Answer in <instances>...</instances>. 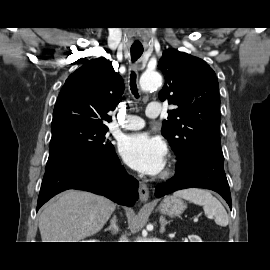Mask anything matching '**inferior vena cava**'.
Instances as JSON below:
<instances>
[{
  "label": "inferior vena cava",
  "mask_w": 270,
  "mask_h": 270,
  "mask_svg": "<svg viewBox=\"0 0 270 270\" xmlns=\"http://www.w3.org/2000/svg\"><path fill=\"white\" fill-rule=\"evenodd\" d=\"M120 242H127V241H126V237L122 236V237L120 238Z\"/></svg>",
  "instance_id": "obj_1"
}]
</instances>
